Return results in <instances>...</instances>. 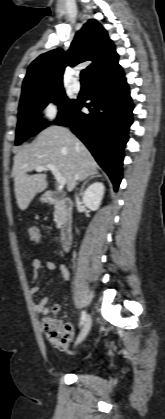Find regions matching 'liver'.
<instances>
[{"label":"liver","instance_id":"liver-1","mask_svg":"<svg viewBox=\"0 0 165 419\" xmlns=\"http://www.w3.org/2000/svg\"><path fill=\"white\" fill-rule=\"evenodd\" d=\"M54 165L66 178L71 192L78 180L97 172L98 164L87 147L67 128L50 126L14 157L12 177L18 206L25 210L34 196L48 185L47 174L29 175L38 165ZM46 170V169H45Z\"/></svg>","mask_w":165,"mask_h":419}]
</instances>
